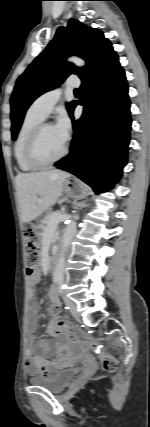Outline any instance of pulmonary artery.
I'll return each mask as SVG.
<instances>
[{"label":"pulmonary artery","instance_id":"e3ab8cb5","mask_svg":"<svg viewBox=\"0 0 150 427\" xmlns=\"http://www.w3.org/2000/svg\"><path fill=\"white\" fill-rule=\"evenodd\" d=\"M79 85L80 80L76 77H72L65 82L64 86L67 89H72L77 88ZM62 90V88L57 87L43 93L32 103L30 108L42 118H46L60 100Z\"/></svg>","mask_w":150,"mask_h":427}]
</instances>
